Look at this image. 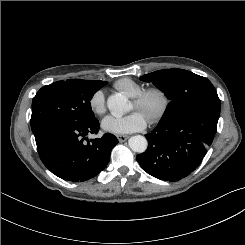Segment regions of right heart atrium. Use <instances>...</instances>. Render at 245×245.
Listing matches in <instances>:
<instances>
[{
	"instance_id": "obj_1",
	"label": "right heart atrium",
	"mask_w": 245,
	"mask_h": 245,
	"mask_svg": "<svg viewBox=\"0 0 245 245\" xmlns=\"http://www.w3.org/2000/svg\"><path fill=\"white\" fill-rule=\"evenodd\" d=\"M89 107L96 115H102L106 111L105 95L102 90L95 91L89 100Z\"/></svg>"
}]
</instances>
